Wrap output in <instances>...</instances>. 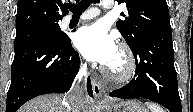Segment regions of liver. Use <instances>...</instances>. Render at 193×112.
Returning a JSON list of instances; mask_svg holds the SVG:
<instances>
[{"instance_id": "obj_1", "label": "liver", "mask_w": 193, "mask_h": 112, "mask_svg": "<svg viewBox=\"0 0 193 112\" xmlns=\"http://www.w3.org/2000/svg\"><path fill=\"white\" fill-rule=\"evenodd\" d=\"M94 102L85 99V112H93ZM18 112H71L69 105L60 95L48 94L32 99L22 106Z\"/></svg>"}]
</instances>
